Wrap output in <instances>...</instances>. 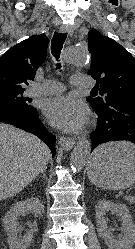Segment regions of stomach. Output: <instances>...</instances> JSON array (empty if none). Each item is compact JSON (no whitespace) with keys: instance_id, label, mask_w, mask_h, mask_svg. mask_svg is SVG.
Wrapping results in <instances>:
<instances>
[{"instance_id":"obj_1","label":"stomach","mask_w":135,"mask_h":249,"mask_svg":"<svg viewBox=\"0 0 135 249\" xmlns=\"http://www.w3.org/2000/svg\"><path fill=\"white\" fill-rule=\"evenodd\" d=\"M117 143L100 146L89 160L88 177L98 187L120 190L135 183V145L125 150Z\"/></svg>"}]
</instances>
